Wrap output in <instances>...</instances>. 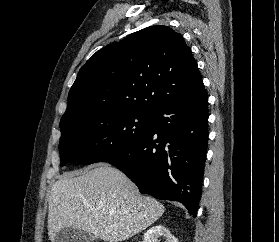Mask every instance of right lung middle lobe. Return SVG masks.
<instances>
[{
    "mask_svg": "<svg viewBox=\"0 0 279 242\" xmlns=\"http://www.w3.org/2000/svg\"><path fill=\"white\" fill-rule=\"evenodd\" d=\"M152 112L124 110L93 119L73 118L60 125L61 165L92 164L123 151L145 136Z\"/></svg>",
    "mask_w": 279,
    "mask_h": 242,
    "instance_id": "obj_1",
    "label": "right lung middle lobe"
}]
</instances>
